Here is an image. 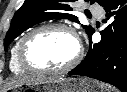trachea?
<instances>
[{
	"label": "trachea",
	"mask_w": 127,
	"mask_h": 92,
	"mask_svg": "<svg viewBox=\"0 0 127 92\" xmlns=\"http://www.w3.org/2000/svg\"><path fill=\"white\" fill-rule=\"evenodd\" d=\"M87 16H89V17H90V16H91V14H88Z\"/></svg>",
	"instance_id": "3493384b"
}]
</instances>
